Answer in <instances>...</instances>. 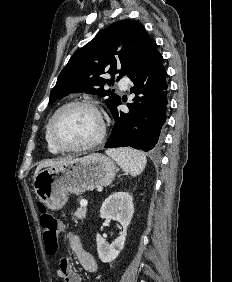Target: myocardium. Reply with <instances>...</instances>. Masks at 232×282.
Segmentation results:
<instances>
[{
	"label": "myocardium",
	"mask_w": 232,
	"mask_h": 282,
	"mask_svg": "<svg viewBox=\"0 0 232 282\" xmlns=\"http://www.w3.org/2000/svg\"><path fill=\"white\" fill-rule=\"evenodd\" d=\"M73 106H83V107H88L90 109H92L98 116L99 121H100V131L99 134L97 135V137L85 144L82 145H76V146H68L65 144H62L60 141H58V139L55 136L54 133V126H55V122L57 120V118L59 117V115L65 111L66 109L73 107ZM48 135L49 138L52 142V144L59 149L60 151H65V152H79V151H85V150H89L92 148H95L96 146H98L99 144H101V142L104 140L105 135H106V124H105V120L103 118V115L99 109V107L97 106V104L94 101L91 100H86V99H82V100H72L69 101L65 104H63L61 107H59L54 114L52 115V117L49 120L48 123Z\"/></svg>",
	"instance_id": "1"
}]
</instances>
